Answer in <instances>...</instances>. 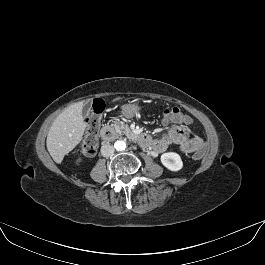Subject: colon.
Instances as JSON below:
<instances>
[{"label":"colon","instance_id":"1","mask_svg":"<svg viewBox=\"0 0 265 265\" xmlns=\"http://www.w3.org/2000/svg\"><path fill=\"white\" fill-rule=\"evenodd\" d=\"M104 106L101 102H96L93 105L92 112L87 119V130L84 139L80 146L81 154L84 157H92L98 148V132L101 126V118ZM165 117L176 119L181 123H189V116L178 107H168L162 111ZM203 157L201 150L193 154V158L198 160Z\"/></svg>","mask_w":265,"mask_h":265}]
</instances>
